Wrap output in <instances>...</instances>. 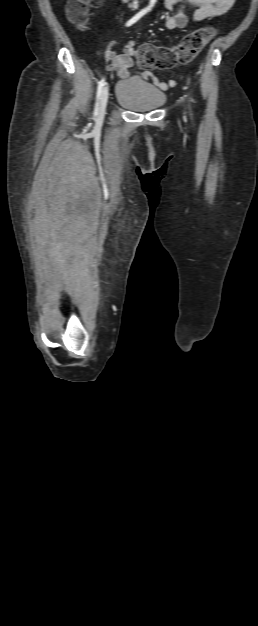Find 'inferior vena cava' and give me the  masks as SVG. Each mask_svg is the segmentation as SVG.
<instances>
[{
  "instance_id": "1",
  "label": "inferior vena cava",
  "mask_w": 258,
  "mask_h": 626,
  "mask_svg": "<svg viewBox=\"0 0 258 626\" xmlns=\"http://www.w3.org/2000/svg\"><path fill=\"white\" fill-rule=\"evenodd\" d=\"M132 7H133L134 9H136V8L138 7V1H137V0H135V1L133 2Z\"/></svg>"
}]
</instances>
